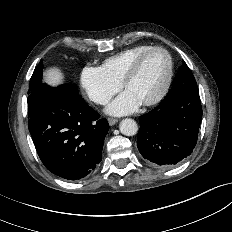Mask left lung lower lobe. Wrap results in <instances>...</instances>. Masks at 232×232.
<instances>
[{
	"label": "left lung lower lobe",
	"mask_w": 232,
	"mask_h": 232,
	"mask_svg": "<svg viewBox=\"0 0 232 232\" xmlns=\"http://www.w3.org/2000/svg\"><path fill=\"white\" fill-rule=\"evenodd\" d=\"M201 118L199 93L172 87L156 108L139 117L137 147L141 155L160 168L179 164L197 143Z\"/></svg>",
	"instance_id": "left-lung-lower-lobe-1"
}]
</instances>
